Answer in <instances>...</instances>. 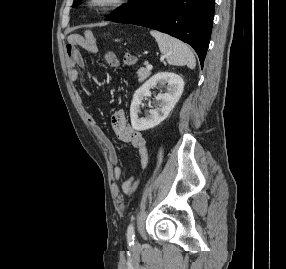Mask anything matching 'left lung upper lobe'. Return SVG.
Listing matches in <instances>:
<instances>
[{
    "label": "left lung upper lobe",
    "instance_id": "left-lung-upper-lobe-1",
    "mask_svg": "<svg viewBox=\"0 0 286 269\" xmlns=\"http://www.w3.org/2000/svg\"><path fill=\"white\" fill-rule=\"evenodd\" d=\"M148 0H129L127 6H121L115 10L113 15L106 18V20L117 22L127 16L132 15L146 5ZM81 0H74L73 6H77Z\"/></svg>",
    "mask_w": 286,
    "mask_h": 269
}]
</instances>
